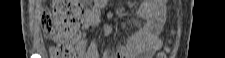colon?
Instances as JSON below:
<instances>
[{"label":"colon","instance_id":"colon-1","mask_svg":"<svg viewBox=\"0 0 225 58\" xmlns=\"http://www.w3.org/2000/svg\"><path fill=\"white\" fill-rule=\"evenodd\" d=\"M87 1L53 0L50 9L42 15V27L46 38L53 43L54 58H74V45L79 38L83 4Z\"/></svg>","mask_w":225,"mask_h":58}]
</instances>
